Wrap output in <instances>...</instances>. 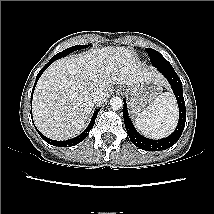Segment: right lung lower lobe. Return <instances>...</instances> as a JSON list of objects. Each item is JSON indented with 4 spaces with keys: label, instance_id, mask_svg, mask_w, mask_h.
Here are the masks:
<instances>
[{
    "label": "right lung lower lobe",
    "instance_id": "obj_1",
    "mask_svg": "<svg viewBox=\"0 0 214 214\" xmlns=\"http://www.w3.org/2000/svg\"><path fill=\"white\" fill-rule=\"evenodd\" d=\"M55 60V58H52L38 73L37 77H36V81L33 87V90L35 88V85L38 81V79L40 78V76L42 75V73L45 71V69H47ZM33 90H32V94L31 97L33 95ZM32 99V98H31ZM98 110H96L93 114V117L88 125V127L85 129V131L83 133H81L79 136L73 138V139H69V140H65V141H56V140H51L49 138H47L46 136H44L39 130H37V132L39 133V135L43 138V140H45L47 143L53 145V146H61V147H70V146H74L78 143H80L81 141H83L89 134L90 129H92L94 123H95V119L97 117L98 114ZM36 128V127H35Z\"/></svg>",
    "mask_w": 214,
    "mask_h": 214
}]
</instances>
